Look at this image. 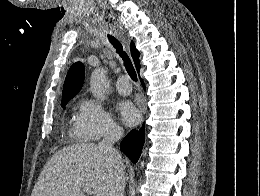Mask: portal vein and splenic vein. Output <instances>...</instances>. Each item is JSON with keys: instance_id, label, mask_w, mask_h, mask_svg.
Returning a JSON list of instances; mask_svg holds the SVG:
<instances>
[{"instance_id": "portal-vein-and-splenic-vein-1", "label": "portal vein and splenic vein", "mask_w": 260, "mask_h": 196, "mask_svg": "<svg viewBox=\"0 0 260 196\" xmlns=\"http://www.w3.org/2000/svg\"><path fill=\"white\" fill-rule=\"evenodd\" d=\"M83 192H85V194H88V196H93L94 192H92L91 188H87V186H85V188H83Z\"/></svg>"}]
</instances>
